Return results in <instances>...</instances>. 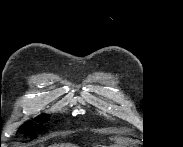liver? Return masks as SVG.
<instances>
[{
  "label": "liver",
  "mask_w": 183,
  "mask_h": 147,
  "mask_svg": "<svg viewBox=\"0 0 183 147\" xmlns=\"http://www.w3.org/2000/svg\"><path fill=\"white\" fill-rule=\"evenodd\" d=\"M60 147H75V146H73L71 144H62V145H60Z\"/></svg>",
  "instance_id": "6515ba94"
}]
</instances>
